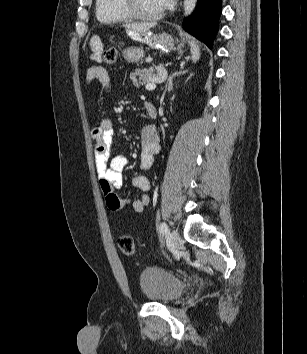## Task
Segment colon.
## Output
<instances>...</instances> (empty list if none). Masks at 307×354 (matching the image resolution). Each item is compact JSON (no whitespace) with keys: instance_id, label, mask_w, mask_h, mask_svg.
<instances>
[{"instance_id":"obj_1","label":"colon","mask_w":307,"mask_h":354,"mask_svg":"<svg viewBox=\"0 0 307 354\" xmlns=\"http://www.w3.org/2000/svg\"><path fill=\"white\" fill-rule=\"evenodd\" d=\"M118 52L114 48L106 49L102 52V61L112 64L117 59ZM118 246L125 257L134 258L137 254L133 238L129 234H122L118 239Z\"/></svg>"}]
</instances>
